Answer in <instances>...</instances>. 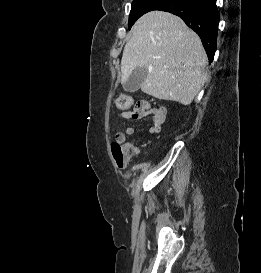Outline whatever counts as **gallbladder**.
Masks as SVG:
<instances>
[{
	"mask_svg": "<svg viewBox=\"0 0 261 273\" xmlns=\"http://www.w3.org/2000/svg\"><path fill=\"white\" fill-rule=\"evenodd\" d=\"M148 75L147 68L144 67H137L135 68L131 75L129 76L128 80L123 84V89L126 92L134 93L137 92L142 83L145 81Z\"/></svg>",
	"mask_w": 261,
	"mask_h": 273,
	"instance_id": "obj_1",
	"label": "gallbladder"
}]
</instances>
